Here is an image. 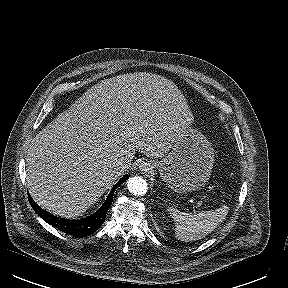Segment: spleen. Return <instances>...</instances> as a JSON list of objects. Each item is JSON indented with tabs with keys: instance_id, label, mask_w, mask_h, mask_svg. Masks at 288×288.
<instances>
[{
	"instance_id": "3e777b00",
	"label": "spleen",
	"mask_w": 288,
	"mask_h": 288,
	"mask_svg": "<svg viewBox=\"0 0 288 288\" xmlns=\"http://www.w3.org/2000/svg\"><path fill=\"white\" fill-rule=\"evenodd\" d=\"M169 213L176 222L175 235L178 240L189 242L206 237L226 218L228 207L202 211L197 214L180 212L169 208Z\"/></svg>"
}]
</instances>
